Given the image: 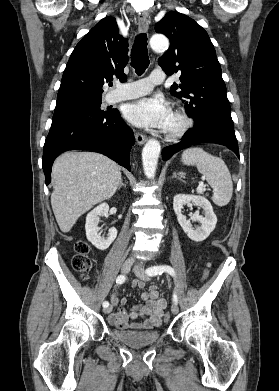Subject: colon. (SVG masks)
I'll list each match as a JSON object with an SVG mask.
<instances>
[{
    "instance_id": "5ec220e1",
    "label": "colon",
    "mask_w": 279,
    "mask_h": 391,
    "mask_svg": "<svg viewBox=\"0 0 279 391\" xmlns=\"http://www.w3.org/2000/svg\"><path fill=\"white\" fill-rule=\"evenodd\" d=\"M75 256L72 260V266L77 271L83 279L89 277V273L92 269V260L89 257L90 247L85 241H78L75 244ZM208 276V268L205 270L203 278L205 279ZM170 314L167 312L164 315V319L168 320Z\"/></svg>"
}]
</instances>
